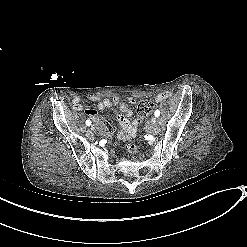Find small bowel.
<instances>
[{"label": "small bowel", "instance_id": "small-bowel-1", "mask_svg": "<svg viewBox=\"0 0 247 247\" xmlns=\"http://www.w3.org/2000/svg\"><path fill=\"white\" fill-rule=\"evenodd\" d=\"M169 96H170L169 92L160 93L155 97V100L156 102H162L166 100ZM89 100L92 102H97V107L99 110L112 109L114 106L119 108V112L116 113V119L121 128L120 132L118 131L115 125L109 123L107 120H104L102 122V125L105 128L111 130L112 134L110 135V138L112 140H115L118 137V139L124 141L135 137L140 120L138 118L134 119L133 121H130L128 119V116L132 114V111L127 105H125V103L122 101L120 97H114L110 99V98H100L99 96H90ZM129 101L131 103L135 102L133 98H130ZM72 103H73V109L76 111H82L85 109V106L82 103V99L79 97H75ZM89 110L90 109L85 110L87 116L91 119H96L97 114H93Z\"/></svg>", "mask_w": 247, "mask_h": 247}]
</instances>
